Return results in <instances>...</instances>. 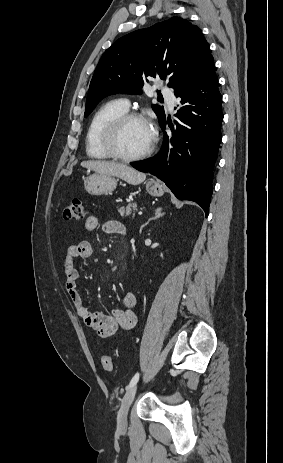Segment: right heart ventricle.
Instances as JSON below:
<instances>
[{
    "mask_svg": "<svg viewBox=\"0 0 283 463\" xmlns=\"http://www.w3.org/2000/svg\"><path fill=\"white\" fill-rule=\"evenodd\" d=\"M128 111L122 100H111L103 104L93 115L88 126L85 148L86 154L97 160L109 158L102 146V134L106 126L117 116Z\"/></svg>",
    "mask_w": 283,
    "mask_h": 463,
    "instance_id": "right-heart-ventricle-1",
    "label": "right heart ventricle"
}]
</instances>
